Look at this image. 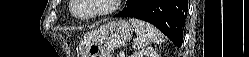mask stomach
I'll list each match as a JSON object with an SVG mask.
<instances>
[{
  "instance_id": "obj_1",
  "label": "stomach",
  "mask_w": 249,
  "mask_h": 57,
  "mask_svg": "<svg viewBox=\"0 0 249 57\" xmlns=\"http://www.w3.org/2000/svg\"><path fill=\"white\" fill-rule=\"evenodd\" d=\"M133 28L125 19L111 21L87 33L82 41V57H112V52L126 45Z\"/></svg>"
}]
</instances>
